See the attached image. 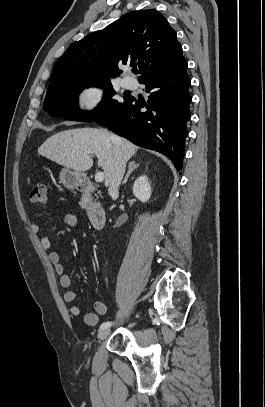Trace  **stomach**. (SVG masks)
I'll return each mask as SVG.
<instances>
[{"instance_id": "obj_1", "label": "stomach", "mask_w": 265, "mask_h": 407, "mask_svg": "<svg viewBox=\"0 0 265 407\" xmlns=\"http://www.w3.org/2000/svg\"><path fill=\"white\" fill-rule=\"evenodd\" d=\"M85 179L86 176L84 173L75 171L68 167H64L60 171V181L66 188L69 189H76L80 187Z\"/></svg>"}]
</instances>
